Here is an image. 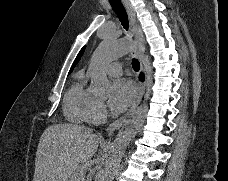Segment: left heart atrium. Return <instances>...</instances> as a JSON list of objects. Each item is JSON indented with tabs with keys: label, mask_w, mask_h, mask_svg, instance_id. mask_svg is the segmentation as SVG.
<instances>
[{
	"label": "left heart atrium",
	"mask_w": 228,
	"mask_h": 181,
	"mask_svg": "<svg viewBox=\"0 0 228 181\" xmlns=\"http://www.w3.org/2000/svg\"><path fill=\"white\" fill-rule=\"evenodd\" d=\"M134 96V86L126 79H118L113 84L110 107L115 112L123 111Z\"/></svg>",
	"instance_id": "left-heart-atrium-1"
}]
</instances>
